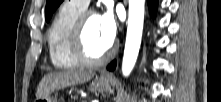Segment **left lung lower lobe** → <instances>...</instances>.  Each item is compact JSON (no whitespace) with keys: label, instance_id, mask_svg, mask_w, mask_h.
<instances>
[{"label":"left lung lower lobe","instance_id":"left-lung-lower-lobe-1","mask_svg":"<svg viewBox=\"0 0 221 102\" xmlns=\"http://www.w3.org/2000/svg\"><path fill=\"white\" fill-rule=\"evenodd\" d=\"M148 6H149L151 14L154 16L156 8H157V0H148ZM115 67H116V61H113L112 63L108 65L107 69L110 71H113Z\"/></svg>","mask_w":221,"mask_h":102}]
</instances>
